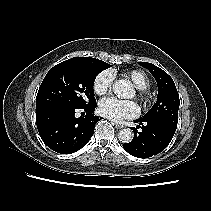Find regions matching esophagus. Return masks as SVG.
Instances as JSON below:
<instances>
[{"label":"esophagus","mask_w":211,"mask_h":211,"mask_svg":"<svg viewBox=\"0 0 211 211\" xmlns=\"http://www.w3.org/2000/svg\"><path fill=\"white\" fill-rule=\"evenodd\" d=\"M113 125H114L115 128H117V129H122V128H124V125H123V124H120V123H113Z\"/></svg>","instance_id":"34e87169"}]
</instances>
